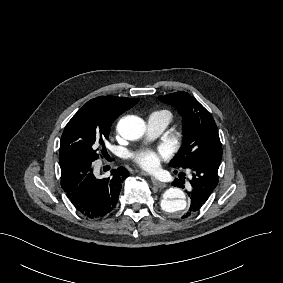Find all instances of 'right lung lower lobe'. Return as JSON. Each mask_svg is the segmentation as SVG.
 Instances as JSON below:
<instances>
[{"label": "right lung lower lobe", "instance_id": "1", "mask_svg": "<svg viewBox=\"0 0 283 283\" xmlns=\"http://www.w3.org/2000/svg\"><path fill=\"white\" fill-rule=\"evenodd\" d=\"M92 163L75 157L60 162L61 187L78 213L90 219H99L115 207L122 182L129 176L124 167L112 170V177L97 179Z\"/></svg>", "mask_w": 283, "mask_h": 283}]
</instances>
